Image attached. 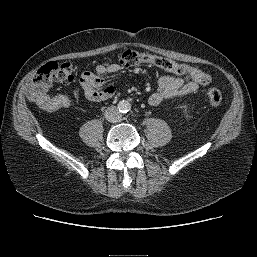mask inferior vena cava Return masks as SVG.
I'll use <instances>...</instances> for the list:
<instances>
[{
	"mask_svg": "<svg viewBox=\"0 0 257 257\" xmlns=\"http://www.w3.org/2000/svg\"><path fill=\"white\" fill-rule=\"evenodd\" d=\"M105 118L109 121V122H119L121 120V113L119 112L118 108H116V106H110L105 110L104 113Z\"/></svg>",
	"mask_w": 257,
	"mask_h": 257,
	"instance_id": "inferior-vena-cava-1",
	"label": "inferior vena cava"
}]
</instances>
